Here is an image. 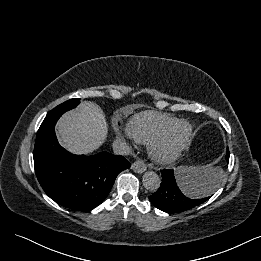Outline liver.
Here are the masks:
<instances>
[{"label": "liver", "mask_w": 261, "mask_h": 261, "mask_svg": "<svg viewBox=\"0 0 261 261\" xmlns=\"http://www.w3.org/2000/svg\"><path fill=\"white\" fill-rule=\"evenodd\" d=\"M108 127L103 110L91 101L66 112L57 125L61 145L73 154H89L106 140Z\"/></svg>", "instance_id": "6515ba94"}]
</instances>
